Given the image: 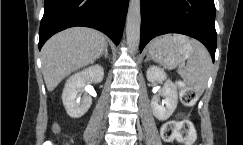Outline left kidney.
I'll return each instance as SVG.
<instances>
[{
  "label": "left kidney",
  "instance_id": "left-kidney-1",
  "mask_svg": "<svg viewBox=\"0 0 243 145\" xmlns=\"http://www.w3.org/2000/svg\"><path fill=\"white\" fill-rule=\"evenodd\" d=\"M146 77L151 83L165 81L161 91V94L165 97L163 104H159L158 96H154L151 100V109L154 116L160 121H165L173 114L177 107V88L171 80L167 79L164 70L157 66H150L147 70Z\"/></svg>",
  "mask_w": 243,
  "mask_h": 145
}]
</instances>
